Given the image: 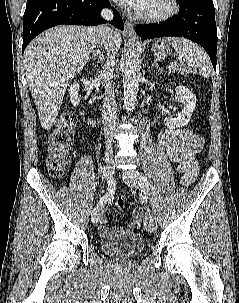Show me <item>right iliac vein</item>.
<instances>
[{
  "label": "right iliac vein",
  "instance_id": "1",
  "mask_svg": "<svg viewBox=\"0 0 239 303\" xmlns=\"http://www.w3.org/2000/svg\"><path fill=\"white\" fill-rule=\"evenodd\" d=\"M108 170L109 171H114V160H113L112 157H107L106 158V171H108ZM103 212H104V209H103L102 206L98 207V208H95L93 210L92 216H91L92 222L95 223V224L98 223V221L100 220V218L103 215Z\"/></svg>",
  "mask_w": 239,
  "mask_h": 303
}]
</instances>
